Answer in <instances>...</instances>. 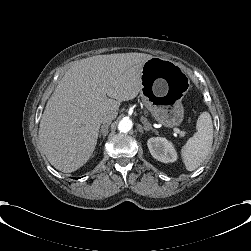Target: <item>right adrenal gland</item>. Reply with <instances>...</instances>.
<instances>
[{"instance_id": "right-adrenal-gland-1", "label": "right adrenal gland", "mask_w": 251, "mask_h": 251, "mask_svg": "<svg viewBox=\"0 0 251 251\" xmlns=\"http://www.w3.org/2000/svg\"><path fill=\"white\" fill-rule=\"evenodd\" d=\"M104 135V137L108 134V125H103L99 131V137H101V135Z\"/></svg>"}]
</instances>
